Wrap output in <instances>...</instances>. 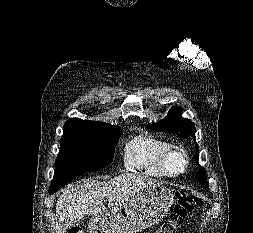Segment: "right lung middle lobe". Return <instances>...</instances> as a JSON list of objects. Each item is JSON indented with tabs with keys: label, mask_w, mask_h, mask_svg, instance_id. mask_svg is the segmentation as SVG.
<instances>
[{
	"label": "right lung middle lobe",
	"mask_w": 253,
	"mask_h": 233,
	"mask_svg": "<svg viewBox=\"0 0 253 233\" xmlns=\"http://www.w3.org/2000/svg\"><path fill=\"white\" fill-rule=\"evenodd\" d=\"M63 130L53 180L109 165L122 134L120 127L77 118L69 119Z\"/></svg>",
	"instance_id": "right-lung-middle-lobe-1"
}]
</instances>
